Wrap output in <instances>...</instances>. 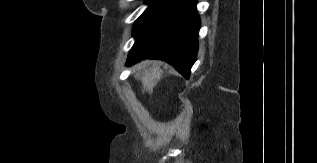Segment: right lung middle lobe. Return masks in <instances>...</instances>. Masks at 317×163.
<instances>
[{
    "label": "right lung middle lobe",
    "instance_id": "right-lung-middle-lobe-1",
    "mask_svg": "<svg viewBox=\"0 0 317 163\" xmlns=\"http://www.w3.org/2000/svg\"><path fill=\"white\" fill-rule=\"evenodd\" d=\"M149 7L137 19L134 25L133 36L141 33L160 17H162L176 2L162 0H147Z\"/></svg>",
    "mask_w": 317,
    "mask_h": 163
}]
</instances>
